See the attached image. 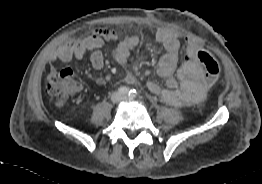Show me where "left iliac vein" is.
<instances>
[{
	"mask_svg": "<svg viewBox=\"0 0 262 184\" xmlns=\"http://www.w3.org/2000/svg\"><path fill=\"white\" fill-rule=\"evenodd\" d=\"M124 100H127V97H123Z\"/></svg>",
	"mask_w": 262,
	"mask_h": 184,
	"instance_id": "4c4485c4",
	"label": "left iliac vein"
}]
</instances>
